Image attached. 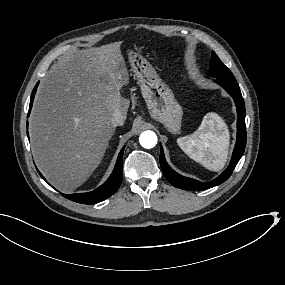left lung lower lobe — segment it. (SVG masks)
Returning <instances> with one entry per match:
<instances>
[{"label":"left lung lower lobe","mask_w":285,"mask_h":285,"mask_svg":"<svg viewBox=\"0 0 285 285\" xmlns=\"http://www.w3.org/2000/svg\"><path fill=\"white\" fill-rule=\"evenodd\" d=\"M216 83L222 86L234 99L236 107H237V141L234 148L233 156L228 168L216 179L210 182H200L195 179H191L188 177H184L177 172H175L166 162L164 157L163 148L160 145L161 153H160V165L162 172L166 179L175 187L185 189V190H192V191H199V190H206L217 186L224 181H226L232 174L233 170L235 169L238 161L241 159L245 146H246V126H245V106L244 100L241 95L240 88L237 84L236 80H220L216 79Z\"/></svg>","instance_id":"1"}]
</instances>
